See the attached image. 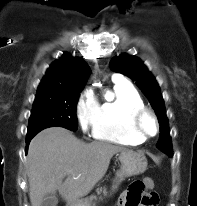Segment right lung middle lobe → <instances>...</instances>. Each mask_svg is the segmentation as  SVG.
Listing matches in <instances>:
<instances>
[{"label": "right lung middle lobe", "instance_id": "1", "mask_svg": "<svg viewBox=\"0 0 197 206\" xmlns=\"http://www.w3.org/2000/svg\"><path fill=\"white\" fill-rule=\"evenodd\" d=\"M80 92L37 91L26 137H33L41 130L54 126L76 131V104Z\"/></svg>", "mask_w": 197, "mask_h": 206}]
</instances>
